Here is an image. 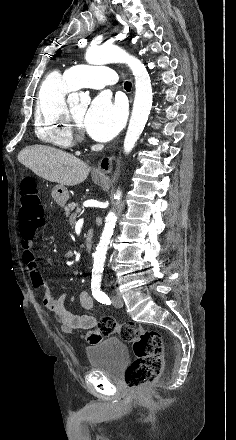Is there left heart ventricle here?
<instances>
[{
	"label": "left heart ventricle",
	"instance_id": "obj_1",
	"mask_svg": "<svg viewBox=\"0 0 236 440\" xmlns=\"http://www.w3.org/2000/svg\"><path fill=\"white\" fill-rule=\"evenodd\" d=\"M71 111L76 119V121L80 124L81 127H83L84 117L86 113V106L85 105H75L71 107Z\"/></svg>",
	"mask_w": 236,
	"mask_h": 440
}]
</instances>
